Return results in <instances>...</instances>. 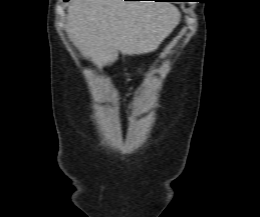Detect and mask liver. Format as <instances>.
<instances>
[{"mask_svg":"<svg viewBox=\"0 0 260 217\" xmlns=\"http://www.w3.org/2000/svg\"><path fill=\"white\" fill-rule=\"evenodd\" d=\"M67 12L68 37L99 68L114 63L118 52L155 51L180 20L167 2L72 0Z\"/></svg>","mask_w":260,"mask_h":217,"instance_id":"1","label":"liver"}]
</instances>
